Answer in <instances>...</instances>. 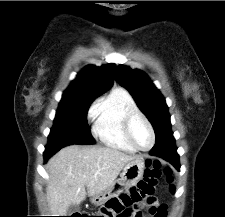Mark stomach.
Instances as JSON below:
<instances>
[{"mask_svg":"<svg viewBox=\"0 0 225 217\" xmlns=\"http://www.w3.org/2000/svg\"><path fill=\"white\" fill-rule=\"evenodd\" d=\"M145 162L141 158H137L128 162L120 175L112 186L103 192L92 196L91 202L97 206L105 204L109 199L117 196L124 188L135 185L144 176Z\"/></svg>","mask_w":225,"mask_h":217,"instance_id":"1","label":"stomach"}]
</instances>
